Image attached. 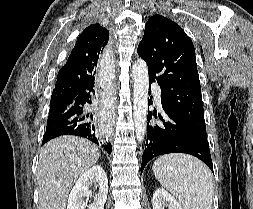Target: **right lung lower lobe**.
<instances>
[{
  "label": "right lung lower lobe",
  "instance_id": "right-lung-lower-lobe-1",
  "mask_svg": "<svg viewBox=\"0 0 253 209\" xmlns=\"http://www.w3.org/2000/svg\"><path fill=\"white\" fill-rule=\"evenodd\" d=\"M94 86L71 99H55L50 102L49 117L42 144L62 135L84 137L101 146L110 154L111 145L105 144L106 138L100 131L93 115L83 110L85 104H91Z\"/></svg>",
  "mask_w": 253,
  "mask_h": 209
}]
</instances>
